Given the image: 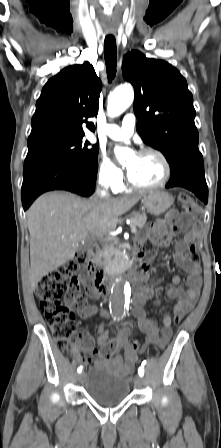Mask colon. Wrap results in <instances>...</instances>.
<instances>
[{
  "label": "colon",
  "mask_w": 221,
  "mask_h": 448,
  "mask_svg": "<svg viewBox=\"0 0 221 448\" xmlns=\"http://www.w3.org/2000/svg\"><path fill=\"white\" fill-rule=\"evenodd\" d=\"M181 204L182 223L188 225L191 217L195 214L197 205L188 194L179 195ZM187 258L193 264H198L200 256L194 245L187 251ZM88 254L80 251L76 256L67 261L61 268L44 276L36 287V296L40 301V308L45 314L47 323L52 332L56 344L62 349H73L77 321L72 309L62 301L73 288L79 286L83 279L90 276L87 270ZM175 323L180 319L175 317ZM82 341L87 347L92 346L91 339L83 335ZM139 346L138 344H136ZM91 361V355H87Z\"/></svg>",
  "instance_id": "5ec220e1"
}]
</instances>
